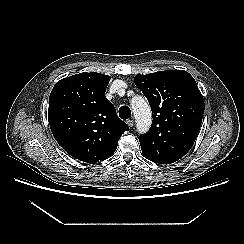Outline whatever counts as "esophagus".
I'll list each match as a JSON object with an SVG mask.
<instances>
[{"label": "esophagus", "mask_w": 244, "mask_h": 244, "mask_svg": "<svg viewBox=\"0 0 244 244\" xmlns=\"http://www.w3.org/2000/svg\"><path fill=\"white\" fill-rule=\"evenodd\" d=\"M127 125L129 126V127H133V125H134V120H132V119H129V120H127Z\"/></svg>", "instance_id": "esophagus-1"}]
</instances>
